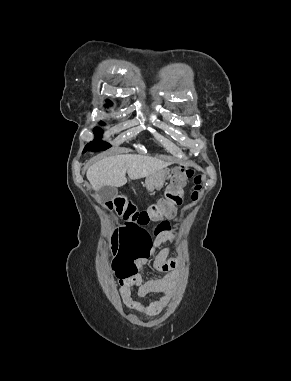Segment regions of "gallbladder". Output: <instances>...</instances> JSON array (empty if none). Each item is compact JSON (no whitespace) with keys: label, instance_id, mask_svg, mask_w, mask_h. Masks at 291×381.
<instances>
[{"label":"gallbladder","instance_id":"bac80fb5","mask_svg":"<svg viewBox=\"0 0 291 381\" xmlns=\"http://www.w3.org/2000/svg\"><path fill=\"white\" fill-rule=\"evenodd\" d=\"M118 194L116 187L103 186L98 190L99 200L102 203H107L112 201Z\"/></svg>","mask_w":291,"mask_h":381}]
</instances>
